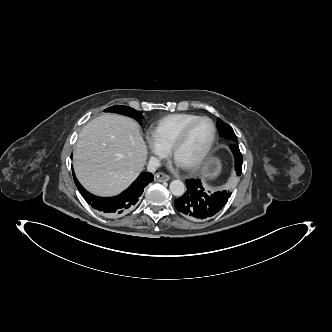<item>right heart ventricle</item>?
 Returning <instances> with one entry per match:
<instances>
[{"label": "right heart ventricle", "instance_id": "obj_1", "mask_svg": "<svg viewBox=\"0 0 332 332\" xmlns=\"http://www.w3.org/2000/svg\"><path fill=\"white\" fill-rule=\"evenodd\" d=\"M198 117V115L187 113L167 115L152 126L151 133L162 145L170 149L183 127Z\"/></svg>", "mask_w": 332, "mask_h": 332}]
</instances>
